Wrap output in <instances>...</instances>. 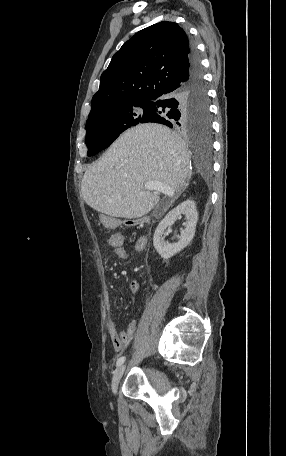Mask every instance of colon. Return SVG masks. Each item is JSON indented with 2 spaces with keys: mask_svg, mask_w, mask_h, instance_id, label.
Masks as SVG:
<instances>
[{
  "mask_svg": "<svg viewBox=\"0 0 286 456\" xmlns=\"http://www.w3.org/2000/svg\"><path fill=\"white\" fill-rule=\"evenodd\" d=\"M110 241H111L112 243H116V242H117V238H116L115 236H111V237H110Z\"/></svg>",
  "mask_w": 286,
  "mask_h": 456,
  "instance_id": "1",
  "label": "colon"
}]
</instances>
